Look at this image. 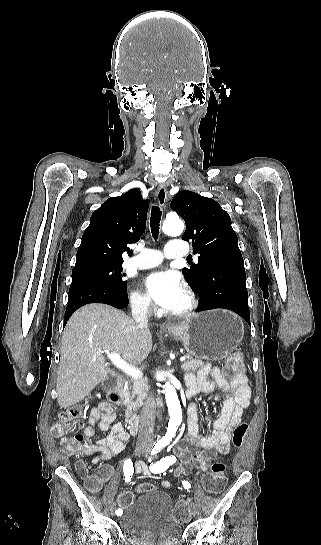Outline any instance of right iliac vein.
<instances>
[{
	"label": "right iliac vein",
	"mask_w": 321,
	"mask_h": 545,
	"mask_svg": "<svg viewBox=\"0 0 321 545\" xmlns=\"http://www.w3.org/2000/svg\"><path fill=\"white\" fill-rule=\"evenodd\" d=\"M146 453H147V450H146L145 448H143V447H137V448L135 449V451H134V454H135V456H137V457H140V456H142V455H145ZM115 509H116L115 505L112 504V505L110 506V513H111L112 516L115 515Z\"/></svg>",
	"instance_id": "right-iliac-vein-1"
}]
</instances>
